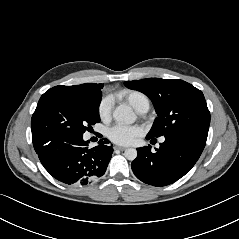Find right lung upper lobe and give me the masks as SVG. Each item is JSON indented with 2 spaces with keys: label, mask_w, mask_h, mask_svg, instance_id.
<instances>
[{
  "label": "right lung upper lobe",
  "mask_w": 239,
  "mask_h": 239,
  "mask_svg": "<svg viewBox=\"0 0 239 239\" xmlns=\"http://www.w3.org/2000/svg\"><path fill=\"white\" fill-rule=\"evenodd\" d=\"M75 87L82 88V89H89L94 91H101L103 88V84H96V83H86L82 85H76Z\"/></svg>",
  "instance_id": "right-lung-upper-lobe-1"
}]
</instances>
